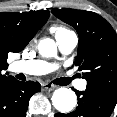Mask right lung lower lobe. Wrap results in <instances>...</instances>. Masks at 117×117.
<instances>
[{
  "instance_id": "98d812e1",
  "label": "right lung lower lobe",
  "mask_w": 117,
  "mask_h": 117,
  "mask_svg": "<svg viewBox=\"0 0 117 117\" xmlns=\"http://www.w3.org/2000/svg\"><path fill=\"white\" fill-rule=\"evenodd\" d=\"M40 90L37 82L14 78L0 84V117H26L30 97Z\"/></svg>"
}]
</instances>
